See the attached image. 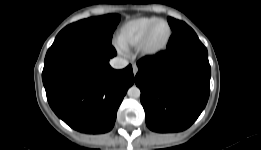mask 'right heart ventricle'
<instances>
[{
  "instance_id": "1",
  "label": "right heart ventricle",
  "mask_w": 261,
  "mask_h": 150,
  "mask_svg": "<svg viewBox=\"0 0 261 150\" xmlns=\"http://www.w3.org/2000/svg\"><path fill=\"white\" fill-rule=\"evenodd\" d=\"M159 18L138 17L125 22L117 34V44L124 50L137 47L147 28Z\"/></svg>"
}]
</instances>
